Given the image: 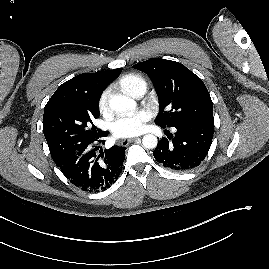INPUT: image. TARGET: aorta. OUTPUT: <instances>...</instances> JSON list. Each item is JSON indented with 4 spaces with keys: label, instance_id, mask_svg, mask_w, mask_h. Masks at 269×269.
<instances>
[{
    "label": "aorta",
    "instance_id": "obj_1",
    "mask_svg": "<svg viewBox=\"0 0 269 269\" xmlns=\"http://www.w3.org/2000/svg\"><path fill=\"white\" fill-rule=\"evenodd\" d=\"M109 106L117 113H130L136 108V102L124 95H115L109 100ZM157 137L147 134L142 139V144L146 149H154L157 146Z\"/></svg>",
    "mask_w": 269,
    "mask_h": 269
}]
</instances>
